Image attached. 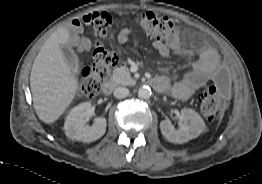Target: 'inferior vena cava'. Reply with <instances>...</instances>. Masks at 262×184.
Instances as JSON below:
<instances>
[{"label": "inferior vena cava", "mask_w": 262, "mask_h": 184, "mask_svg": "<svg viewBox=\"0 0 262 184\" xmlns=\"http://www.w3.org/2000/svg\"><path fill=\"white\" fill-rule=\"evenodd\" d=\"M113 94L116 98H125L129 95V89L126 87H117L114 89Z\"/></svg>", "instance_id": "inferior-vena-cava-1"}]
</instances>
